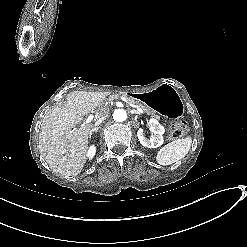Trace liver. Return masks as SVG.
<instances>
[{"mask_svg": "<svg viewBox=\"0 0 247 247\" xmlns=\"http://www.w3.org/2000/svg\"><path fill=\"white\" fill-rule=\"evenodd\" d=\"M105 92L71 91L66 101L52 106L44 116L39 133L41 157L56 174L77 176L87 162L89 134L93 124L76 126L102 106ZM100 113L94 115L96 122Z\"/></svg>", "mask_w": 247, "mask_h": 247, "instance_id": "liver-1", "label": "liver"}]
</instances>
